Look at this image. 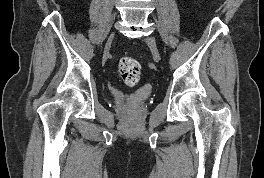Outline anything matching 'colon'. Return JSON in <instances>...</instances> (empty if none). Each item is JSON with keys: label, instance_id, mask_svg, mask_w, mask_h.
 <instances>
[{"label": "colon", "instance_id": "obj_1", "mask_svg": "<svg viewBox=\"0 0 264 178\" xmlns=\"http://www.w3.org/2000/svg\"><path fill=\"white\" fill-rule=\"evenodd\" d=\"M118 75L125 84L134 86L140 79L141 65L132 57H124L119 62Z\"/></svg>", "mask_w": 264, "mask_h": 178}]
</instances>
